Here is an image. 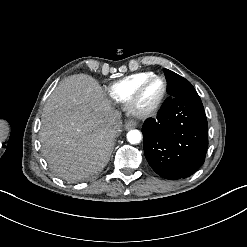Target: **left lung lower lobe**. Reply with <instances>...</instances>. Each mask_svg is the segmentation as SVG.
I'll list each match as a JSON object with an SVG mask.
<instances>
[{
	"label": "left lung lower lobe",
	"mask_w": 247,
	"mask_h": 247,
	"mask_svg": "<svg viewBox=\"0 0 247 247\" xmlns=\"http://www.w3.org/2000/svg\"><path fill=\"white\" fill-rule=\"evenodd\" d=\"M145 157L151 168L169 180L187 178L204 163L208 148V124L198 95L172 98L157 118L143 127Z\"/></svg>",
	"instance_id": "1"
}]
</instances>
